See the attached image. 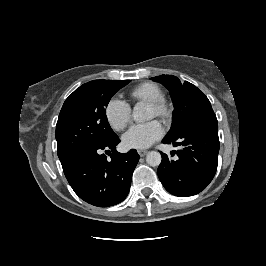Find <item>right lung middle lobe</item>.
Here are the masks:
<instances>
[{"label":"right lung middle lobe","instance_id":"right-lung-middle-lobe-1","mask_svg":"<svg viewBox=\"0 0 266 266\" xmlns=\"http://www.w3.org/2000/svg\"><path fill=\"white\" fill-rule=\"evenodd\" d=\"M130 80H94L76 89L64 102L56 125L57 154L61 162L79 151L91 150L116 136L106 107Z\"/></svg>","mask_w":266,"mask_h":266}]
</instances>
